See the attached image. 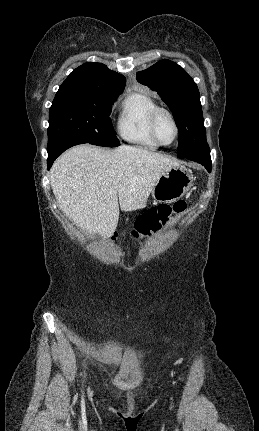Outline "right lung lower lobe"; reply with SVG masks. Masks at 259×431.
I'll return each mask as SVG.
<instances>
[{
    "label": "right lung lower lobe",
    "instance_id": "98d812e1",
    "mask_svg": "<svg viewBox=\"0 0 259 431\" xmlns=\"http://www.w3.org/2000/svg\"><path fill=\"white\" fill-rule=\"evenodd\" d=\"M78 145L76 142H63L60 143L54 147L47 148L48 151V159H47V165L48 169H50L51 165L55 161V159L60 156L66 149Z\"/></svg>",
    "mask_w": 259,
    "mask_h": 431
}]
</instances>
